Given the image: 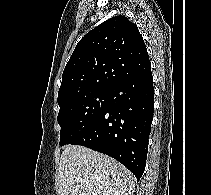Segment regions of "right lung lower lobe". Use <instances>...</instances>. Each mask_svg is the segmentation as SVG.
Masks as SVG:
<instances>
[{"instance_id": "right-lung-lower-lobe-1", "label": "right lung lower lobe", "mask_w": 211, "mask_h": 195, "mask_svg": "<svg viewBox=\"0 0 211 195\" xmlns=\"http://www.w3.org/2000/svg\"><path fill=\"white\" fill-rule=\"evenodd\" d=\"M153 111V77L149 69L113 85L106 108L72 144L115 158L139 180L145 170Z\"/></svg>"}]
</instances>
